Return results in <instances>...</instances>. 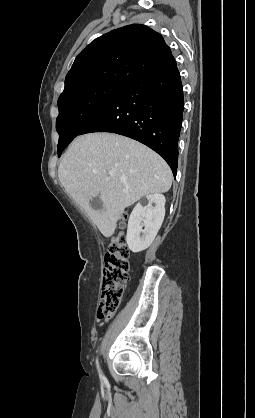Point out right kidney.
<instances>
[{
  "instance_id": "right-kidney-1",
  "label": "right kidney",
  "mask_w": 255,
  "mask_h": 418,
  "mask_svg": "<svg viewBox=\"0 0 255 418\" xmlns=\"http://www.w3.org/2000/svg\"><path fill=\"white\" fill-rule=\"evenodd\" d=\"M165 202L164 195L154 193L147 195L134 207L129 217L126 236L132 252H141L153 242L164 220Z\"/></svg>"
}]
</instances>
